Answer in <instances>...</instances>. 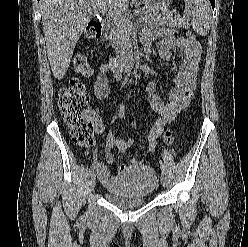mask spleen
Returning a JSON list of instances; mask_svg holds the SVG:
<instances>
[{"instance_id":"spleen-1","label":"spleen","mask_w":248,"mask_h":247,"mask_svg":"<svg viewBox=\"0 0 248 247\" xmlns=\"http://www.w3.org/2000/svg\"><path fill=\"white\" fill-rule=\"evenodd\" d=\"M185 14L191 18V25L198 35L206 36L210 30V6L206 0H184Z\"/></svg>"}]
</instances>
